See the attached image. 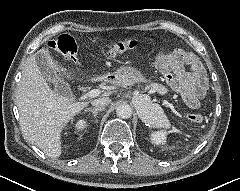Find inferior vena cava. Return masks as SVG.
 I'll return each mask as SVG.
<instances>
[{
    "instance_id": "1",
    "label": "inferior vena cava",
    "mask_w": 240,
    "mask_h": 191,
    "mask_svg": "<svg viewBox=\"0 0 240 191\" xmlns=\"http://www.w3.org/2000/svg\"><path fill=\"white\" fill-rule=\"evenodd\" d=\"M110 103L111 99L108 97H103L92 101V105L95 107L94 109H104L105 106L109 105Z\"/></svg>"
}]
</instances>
